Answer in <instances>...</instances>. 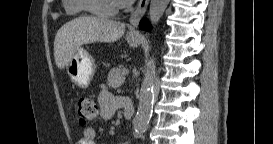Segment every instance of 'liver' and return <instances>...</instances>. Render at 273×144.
Instances as JSON below:
<instances>
[{
    "label": "liver",
    "mask_w": 273,
    "mask_h": 144,
    "mask_svg": "<svg viewBox=\"0 0 273 144\" xmlns=\"http://www.w3.org/2000/svg\"><path fill=\"white\" fill-rule=\"evenodd\" d=\"M125 32V24L99 17H78L64 24L56 33L54 58L58 68L67 66L74 52L83 44L115 42Z\"/></svg>",
    "instance_id": "1"
}]
</instances>
